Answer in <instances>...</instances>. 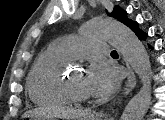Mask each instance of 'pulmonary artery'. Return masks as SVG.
Masks as SVG:
<instances>
[{"instance_id":"pulmonary-artery-1","label":"pulmonary artery","mask_w":165,"mask_h":120,"mask_svg":"<svg viewBox=\"0 0 165 120\" xmlns=\"http://www.w3.org/2000/svg\"><path fill=\"white\" fill-rule=\"evenodd\" d=\"M53 46L69 59L81 58L94 54H108L106 43L95 40L64 36L57 39Z\"/></svg>"}]
</instances>
